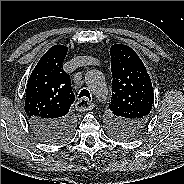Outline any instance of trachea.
Returning a JSON list of instances; mask_svg holds the SVG:
<instances>
[{
    "instance_id": "1",
    "label": "trachea",
    "mask_w": 184,
    "mask_h": 184,
    "mask_svg": "<svg viewBox=\"0 0 184 184\" xmlns=\"http://www.w3.org/2000/svg\"><path fill=\"white\" fill-rule=\"evenodd\" d=\"M79 98H82V97H86L88 99H91L90 97V93L87 89H83L80 93H79Z\"/></svg>"
}]
</instances>
